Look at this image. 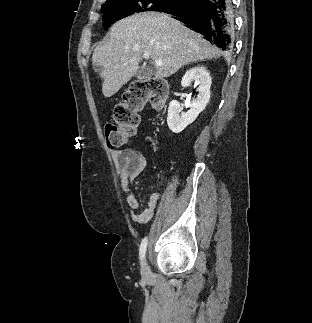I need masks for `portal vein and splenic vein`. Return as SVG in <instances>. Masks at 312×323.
Wrapping results in <instances>:
<instances>
[{
  "label": "portal vein and splenic vein",
  "mask_w": 312,
  "mask_h": 323,
  "mask_svg": "<svg viewBox=\"0 0 312 323\" xmlns=\"http://www.w3.org/2000/svg\"><path fill=\"white\" fill-rule=\"evenodd\" d=\"M148 56L149 54H143V58H148ZM155 66L156 68H158V66H164V62H158V60H156Z\"/></svg>",
  "instance_id": "obj_1"
}]
</instances>
